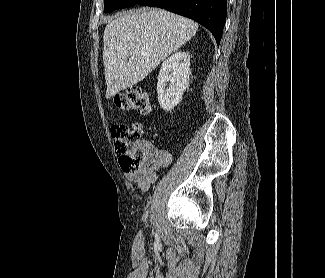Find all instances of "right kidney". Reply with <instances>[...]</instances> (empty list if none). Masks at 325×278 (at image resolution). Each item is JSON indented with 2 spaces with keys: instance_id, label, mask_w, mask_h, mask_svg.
Here are the masks:
<instances>
[{
  "instance_id": "ca27d5eb",
  "label": "right kidney",
  "mask_w": 325,
  "mask_h": 278,
  "mask_svg": "<svg viewBox=\"0 0 325 278\" xmlns=\"http://www.w3.org/2000/svg\"><path fill=\"white\" fill-rule=\"evenodd\" d=\"M190 74L188 52H176L162 63L157 82L158 102L162 109L171 111L180 103L183 93L189 86Z\"/></svg>"
}]
</instances>
